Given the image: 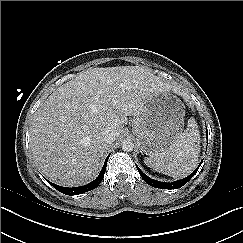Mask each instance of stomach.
Instances as JSON below:
<instances>
[{
	"mask_svg": "<svg viewBox=\"0 0 243 243\" xmlns=\"http://www.w3.org/2000/svg\"><path fill=\"white\" fill-rule=\"evenodd\" d=\"M184 115V104L175 95H154L132 125L140 150L150 156L169 147L183 130Z\"/></svg>",
	"mask_w": 243,
	"mask_h": 243,
	"instance_id": "1",
	"label": "stomach"
}]
</instances>
